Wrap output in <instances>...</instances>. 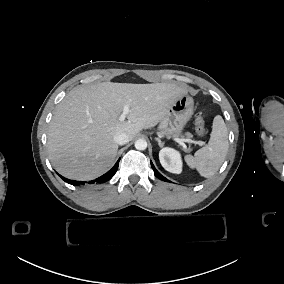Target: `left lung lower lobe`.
<instances>
[{
	"instance_id": "0a47b994",
	"label": "left lung lower lobe",
	"mask_w": 284,
	"mask_h": 284,
	"mask_svg": "<svg viewBox=\"0 0 284 284\" xmlns=\"http://www.w3.org/2000/svg\"><path fill=\"white\" fill-rule=\"evenodd\" d=\"M151 166L154 170V174L157 178H159L160 180H163V181H168L165 177H163L157 170L156 168L154 167L153 163L151 162Z\"/></svg>"
}]
</instances>
